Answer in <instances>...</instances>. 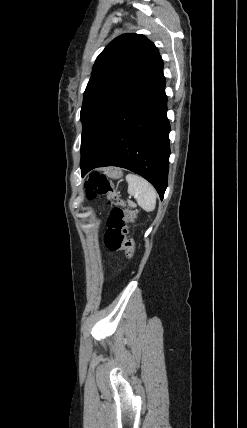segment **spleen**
I'll use <instances>...</instances> for the list:
<instances>
[{
    "mask_svg": "<svg viewBox=\"0 0 247 428\" xmlns=\"http://www.w3.org/2000/svg\"><path fill=\"white\" fill-rule=\"evenodd\" d=\"M128 193L136 198L138 205L147 212L153 211L156 206V190L144 178L130 174L126 177Z\"/></svg>",
    "mask_w": 247,
    "mask_h": 428,
    "instance_id": "1",
    "label": "spleen"
}]
</instances>
